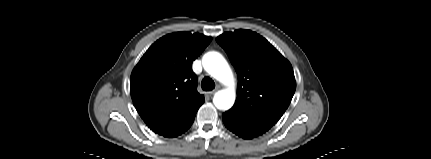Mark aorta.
<instances>
[{
    "instance_id": "aorta-1",
    "label": "aorta",
    "mask_w": 431,
    "mask_h": 159,
    "mask_svg": "<svg viewBox=\"0 0 431 159\" xmlns=\"http://www.w3.org/2000/svg\"><path fill=\"white\" fill-rule=\"evenodd\" d=\"M202 64L212 77L228 86L227 89L220 90L215 94L213 98L215 107L220 110L230 109L235 102L236 93L233 73L227 61L218 52H208L203 56Z\"/></svg>"
}]
</instances>
